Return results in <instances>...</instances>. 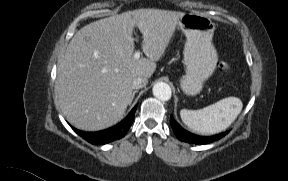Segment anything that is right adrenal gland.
<instances>
[{
    "mask_svg": "<svg viewBox=\"0 0 288 181\" xmlns=\"http://www.w3.org/2000/svg\"><path fill=\"white\" fill-rule=\"evenodd\" d=\"M137 92H138L137 90H135V91L133 92L131 102H132V100H133V98H134V96H135V93H137Z\"/></svg>",
    "mask_w": 288,
    "mask_h": 181,
    "instance_id": "obj_1",
    "label": "right adrenal gland"
}]
</instances>
